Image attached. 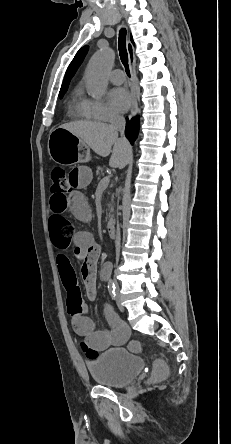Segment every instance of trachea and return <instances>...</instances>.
Returning a JSON list of instances; mask_svg holds the SVG:
<instances>
[{
    "instance_id": "obj_1",
    "label": "trachea",
    "mask_w": 231,
    "mask_h": 444,
    "mask_svg": "<svg viewBox=\"0 0 231 444\" xmlns=\"http://www.w3.org/2000/svg\"><path fill=\"white\" fill-rule=\"evenodd\" d=\"M119 55L121 62L123 63L125 67L126 74L130 77V70H129V59H128V52L126 48V29H121L119 32Z\"/></svg>"
}]
</instances>
